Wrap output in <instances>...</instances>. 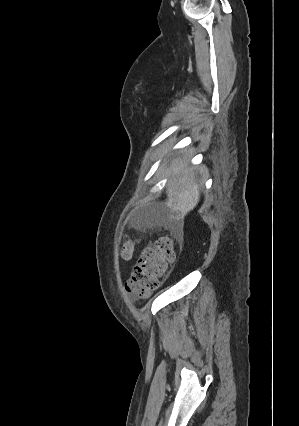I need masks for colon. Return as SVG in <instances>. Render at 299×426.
Segmentation results:
<instances>
[{"label": "colon", "mask_w": 299, "mask_h": 426, "mask_svg": "<svg viewBox=\"0 0 299 426\" xmlns=\"http://www.w3.org/2000/svg\"><path fill=\"white\" fill-rule=\"evenodd\" d=\"M133 251L134 244L128 241L121 249V257L124 260L131 259ZM174 257L172 239L158 238L154 244L141 252L131 278L126 282V291L135 299L148 297L158 287L160 278Z\"/></svg>", "instance_id": "5ec220e1"}]
</instances>
